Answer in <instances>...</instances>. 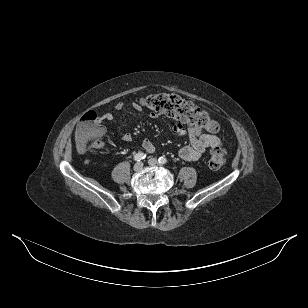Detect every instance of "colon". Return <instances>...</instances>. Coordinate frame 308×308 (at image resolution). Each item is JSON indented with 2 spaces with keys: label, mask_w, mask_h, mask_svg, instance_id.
Segmentation results:
<instances>
[{
  "label": "colon",
  "mask_w": 308,
  "mask_h": 308,
  "mask_svg": "<svg viewBox=\"0 0 308 308\" xmlns=\"http://www.w3.org/2000/svg\"><path fill=\"white\" fill-rule=\"evenodd\" d=\"M142 104L157 115H167L204 132L212 134L219 130L218 123L205 110L179 96L166 93L152 94L145 97ZM103 135L104 127L100 117L94 111H88L76 127L75 141L82 151L97 149L102 146ZM225 157L226 150L223 147H213L208 161L209 167L213 170L220 169L225 163Z\"/></svg>",
  "instance_id": "5ec220e1"
}]
</instances>
